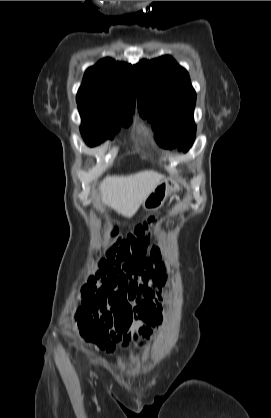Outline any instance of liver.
Masks as SVG:
<instances>
[{"label":"liver","instance_id":"obj_1","mask_svg":"<svg viewBox=\"0 0 271 418\" xmlns=\"http://www.w3.org/2000/svg\"><path fill=\"white\" fill-rule=\"evenodd\" d=\"M163 179L162 174L153 170L127 176H107L100 185L102 201L118 214L129 218Z\"/></svg>","mask_w":271,"mask_h":418}]
</instances>
